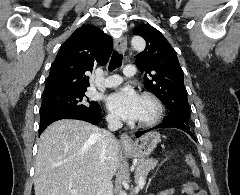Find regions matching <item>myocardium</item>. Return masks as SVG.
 I'll use <instances>...</instances> for the list:
<instances>
[{
    "label": "myocardium",
    "instance_id": "myocardium-1",
    "mask_svg": "<svg viewBox=\"0 0 240 195\" xmlns=\"http://www.w3.org/2000/svg\"><path fill=\"white\" fill-rule=\"evenodd\" d=\"M141 99L148 101L152 105L153 111L152 115L149 118L139 121L137 124L133 126L136 129H146L154 126L160 120L163 113L161 101L154 94L150 92H144L141 95Z\"/></svg>",
    "mask_w": 240,
    "mask_h": 195
}]
</instances>
